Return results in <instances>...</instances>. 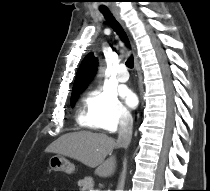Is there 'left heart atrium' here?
I'll return each instance as SVG.
<instances>
[{"label":"left heart atrium","instance_id":"obj_1","mask_svg":"<svg viewBox=\"0 0 210 191\" xmlns=\"http://www.w3.org/2000/svg\"><path fill=\"white\" fill-rule=\"evenodd\" d=\"M121 96L129 107H134L137 104V96L130 89L122 88Z\"/></svg>","mask_w":210,"mask_h":191}]
</instances>
